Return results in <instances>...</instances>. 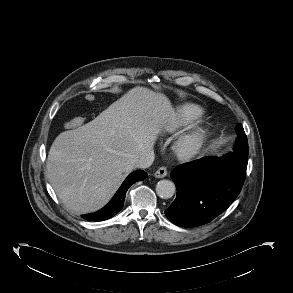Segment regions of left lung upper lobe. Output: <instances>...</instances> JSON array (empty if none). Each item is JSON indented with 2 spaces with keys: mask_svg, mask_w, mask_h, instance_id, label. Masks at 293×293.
<instances>
[{
  "mask_svg": "<svg viewBox=\"0 0 293 293\" xmlns=\"http://www.w3.org/2000/svg\"><path fill=\"white\" fill-rule=\"evenodd\" d=\"M236 130H237V133H238V137L246 136V135H245V132H244V130H243L242 125L239 124V125L236 127Z\"/></svg>",
  "mask_w": 293,
  "mask_h": 293,
  "instance_id": "left-lung-upper-lobe-1",
  "label": "left lung upper lobe"
}]
</instances>
